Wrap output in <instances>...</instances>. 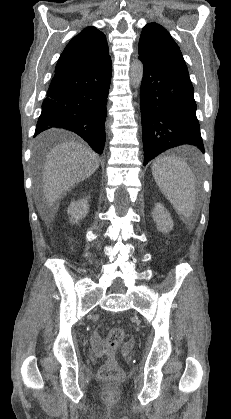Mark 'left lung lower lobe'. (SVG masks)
Instances as JSON below:
<instances>
[{
  "instance_id": "left-lung-lower-lobe-1",
  "label": "left lung lower lobe",
  "mask_w": 231,
  "mask_h": 419,
  "mask_svg": "<svg viewBox=\"0 0 231 419\" xmlns=\"http://www.w3.org/2000/svg\"><path fill=\"white\" fill-rule=\"evenodd\" d=\"M143 66L140 107L144 165L180 145H192L204 153L188 72L144 62Z\"/></svg>"
}]
</instances>
